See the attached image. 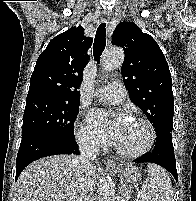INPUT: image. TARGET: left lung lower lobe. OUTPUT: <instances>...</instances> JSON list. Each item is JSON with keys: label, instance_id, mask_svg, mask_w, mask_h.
Wrapping results in <instances>:
<instances>
[{"label": "left lung lower lobe", "instance_id": "obj_1", "mask_svg": "<svg viewBox=\"0 0 196 201\" xmlns=\"http://www.w3.org/2000/svg\"><path fill=\"white\" fill-rule=\"evenodd\" d=\"M136 163H155L164 167L177 180L176 159L172 143V133H164L156 137L155 148L151 153L134 160Z\"/></svg>", "mask_w": 196, "mask_h": 201}]
</instances>
